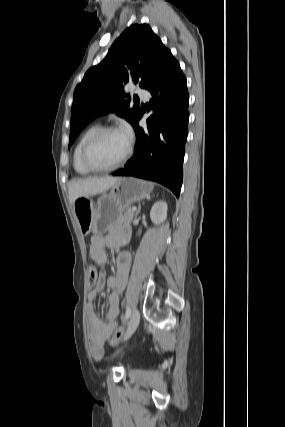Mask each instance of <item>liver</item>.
I'll return each instance as SVG.
<instances>
[{
    "mask_svg": "<svg viewBox=\"0 0 285 427\" xmlns=\"http://www.w3.org/2000/svg\"><path fill=\"white\" fill-rule=\"evenodd\" d=\"M117 177L85 178L74 180L69 185V201L74 202L81 197H90L109 190L118 180Z\"/></svg>",
    "mask_w": 285,
    "mask_h": 427,
    "instance_id": "1",
    "label": "liver"
}]
</instances>
